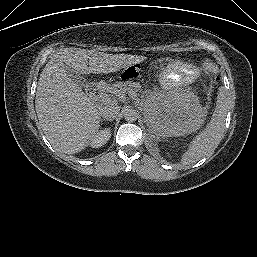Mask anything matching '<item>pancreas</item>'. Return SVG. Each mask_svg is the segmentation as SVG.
<instances>
[{
	"label": "pancreas",
	"mask_w": 257,
	"mask_h": 257,
	"mask_svg": "<svg viewBox=\"0 0 257 257\" xmlns=\"http://www.w3.org/2000/svg\"><path fill=\"white\" fill-rule=\"evenodd\" d=\"M139 85L134 82H118L110 86H103L100 93L104 96L108 92H113L116 89H122L125 91H132L134 93V98L137 100L136 92H138Z\"/></svg>",
	"instance_id": "pancreas-1"
}]
</instances>
